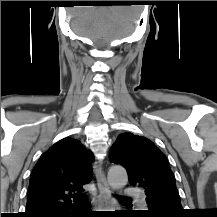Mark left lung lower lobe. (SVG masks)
Instances as JSON below:
<instances>
[{"label": "left lung lower lobe", "instance_id": "obj_1", "mask_svg": "<svg viewBox=\"0 0 217 217\" xmlns=\"http://www.w3.org/2000/svg\"><path fill=\"white\" fill-rule=\"evenodd\" d=\"M150 217H164V216H158V215H154V214H151V213H148Z\"/></svg>", "mask_w": 217, "mask_h": 217}]
</instances>
